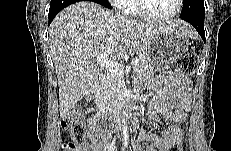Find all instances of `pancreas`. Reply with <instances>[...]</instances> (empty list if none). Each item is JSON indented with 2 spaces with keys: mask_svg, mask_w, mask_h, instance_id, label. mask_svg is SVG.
<instances>
[{
  "mask_svg": "<svg viewBox=\"0 0 231 151\" xmlns=\"http://www.w3.org/2000/svg\"><path fill=\"white\" fill-rule=\"evenodd\" d=\"M134 72L138 76H147L155 71L144 57L139 59L138 64L134 67ZM124 89L123 77L108 71L106 78L101 82L98 93V103L101 109H106L116 105L121 100L120 92Z\"/></svg>",
  "mask_w": 231,
  "mask_h": 151,
  "instance_id": "cf45deb5",
  "label": "pancreas"
}]
</instances>
